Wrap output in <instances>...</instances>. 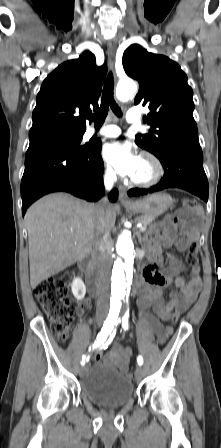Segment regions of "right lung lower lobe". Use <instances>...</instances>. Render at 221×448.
I'll return each instance as SVG.
<instances>
[{
    "label": "right lung lower lobe",
    "instance_id": "right-lung-lower-lobe-1",
    "mask_svg": "<svg viewBox=\"0 0 221 448\" xmlns=\"http://www.w3.org/2000/svg\"><path fill=\"white\" fill-rule=\"evenodd\" d=\"M104 164L101 146L82 151L70 144H47L29 148L21 181L22 215L38 198L51 192L64 191L88 201L104 195ZM117 189L109 194L114 202Z\"/></svg>",
    "mask_w": 221,
    "mask_h": 448
}]
</instances>
